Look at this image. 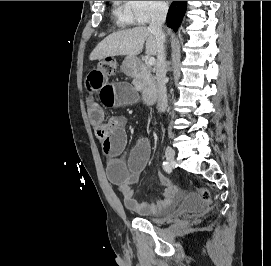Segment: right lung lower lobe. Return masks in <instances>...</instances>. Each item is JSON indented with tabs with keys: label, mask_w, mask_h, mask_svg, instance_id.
I'll list each match as a JSON object with an SVG mask.
<instances>
[{
	"label": "right lung lower lobe",
	"mask_w": 271,
	"mask_h": 266,
	"mask_svg": "<svg viewBox=\"0 0 271 266\" xmlns=\"http://www.w3.org/2000/svg\"><path fill=\"white\" fill-rule=\"evenodd\" d=\"M186 3L187 1H178L171 4L166 20L170 28L177 30L179 27L186 11Z\"/></svg>",
	"instance_id": "1"
}]
</instances>
